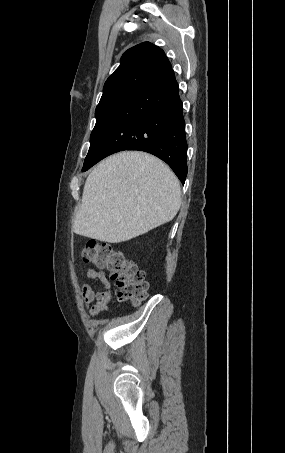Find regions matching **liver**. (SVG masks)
<instances>
[{"label":"liver","mask_w":285,"mask_h":453,"mask_svg":"<svg viewBox=\"0 0 285 453\" xmlns=\"http://www.w3.org/2000/svg\"><path fill=\"white\" fill-rule=\"evenodd\" d=\"M180 205L179 180L164 162L144 152H120L87 177L72 229L120 243L171 221Z\"/></svg>","instance_id":"6515ba94"}]
</instances>
